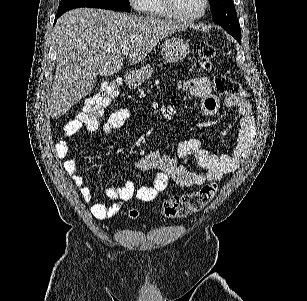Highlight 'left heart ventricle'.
I'll list each match as a JSON object with an SVG mask.
<instances>
[{"instance_id":"obj_1","label":"left heart ventricle","mask_w":307,"mask_h":301,"mask_svg":"<svg viewBox=\"0 0 307 301\" xmlns=\"http://www.w3.org/2000/svg\"><path fill=\"white\" fill-rule=\"evenodd\" d=\"M174 13H196L200 10L201 0H174Z\"/></svg>"}]
</instances>
